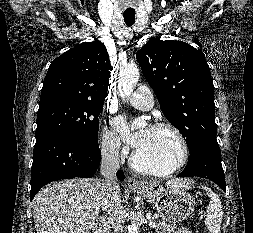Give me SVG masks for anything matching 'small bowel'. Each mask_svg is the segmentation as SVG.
<instances>
[{
    "instance_id": "c3829d8e",
    "label": "small bowel",
    "mask_w": 253,
    "mask_h": 233,
    "mask_svg": "<svg viewBox=\"0 0 253 233\" xmlns=\"http://www.w3.org/2000/svg\"><path fill=\"white\" fill-rule=\"evenodd\" d=\"M175 233H191V232L188 229H180L179 231H177Z\"/></svg>"
}]
</instances>
